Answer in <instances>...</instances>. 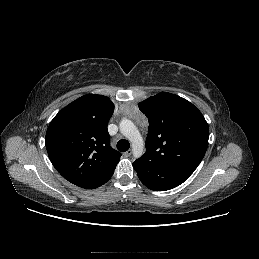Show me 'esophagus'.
<instances>
[{
    "label": "esophagus",
    "mask_w": 259,
    "mask_h": 259,
    "mask_svg": "<svg viewBox=\"0 0 259 259\" xmlns=\"http://www.w3.org/2000/svg\"><path fill=\"white\" fill-rule=\"evenodd\" d=\"M131 154H132V150L131 149H129L126 152H124V156H126V157L131 156Z\"/></svg>",
    "instance_id": "esophagus-1"
}]
</instances>
